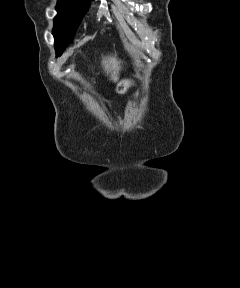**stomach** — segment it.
Returning <instances> with one entry per match:
<instances>
[{
    "instance_id": "1",
    "label": "stomach",
    "mask_w": 240,
    "mask_h": 288,
    "mask_svg": "<svg viewBox=\"0 0 240 288\" xmlns=\"http://www.w3.org/2000/svg\"><path fill=\"white\" fill-rule=\"evenodd\" d=\"M136 86L135 81L130 79L122 80L118 83L116 87V92L118 94H125L130 88Z\"/></svg>"
}]
</instances>
